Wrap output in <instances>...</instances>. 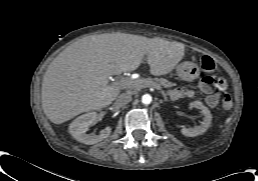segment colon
Returning <instances> with one entry per match:
<instances>
[{"instance_id": "colon-1", "label": "colon", "mask_w": 258, "mask_h": 181, "mask_svg": "<svg viewBox=\"0 0 258 181\" xmlns=\"http://www.w3.org/2000/svg\"><path fill=\"white\" fill-rule=\"evenodd\" d=\"M203 67L208 71H219V67L209 58L203 60ZM222 105L225 109H229L232 106V98L229 94H225L222 99Z\"/></svg>"}]
</instances>
